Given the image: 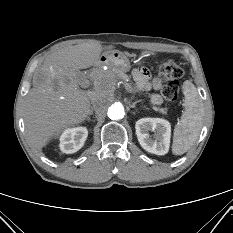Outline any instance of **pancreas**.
I'll return each mask as SVG.
<instances>
[{"label":"pancreas","mask_w":233,"mask_h":233,"mask_svg":"<svg viewBox=\"0 0 233 233\" xmlns=\"http://www.w3.org/2000/svg\"><path fill=\"white\" fill-rule=\"evenodd\" d=\"M106 79H110L112 81H117V80H123L124 81V85L126 87V89L128 91H131L132 93L136 92V89L134 87H132L129 83H127L126 81H128V76L121 70L118 69H114V70H101L100 74L97 76V80L99 81H104ZM153 109L155 111H158L160 113L166 114L167 113V108H160V107H153Z\"/></svg>","instance_id":"obj_1"}]
</instances>
